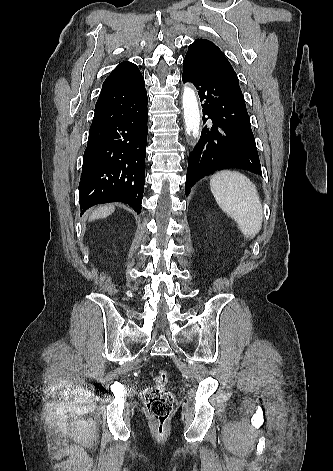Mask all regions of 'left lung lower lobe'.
Wrapping results in <instances>:
<instances>
[{
    "label": "left lung lower lobe",
    "instance_id": "obj_1",
    "mask_svg": "<svg viewBox=\"0 0 333 471\" xmlns=\"http://www.w3.org/2000/svg\"><path fill=\"white\" fill-rule=\"evenodd\" d=\"M183 67V82L193 83L203 101V124L211 120L189 155L186 195L196 180L218 170L240 168L262 175L245 102L202 58L186 55Z\"/></svg>",
    "mask_w": 333,
    "mask_h": 471
}]
</instances>
